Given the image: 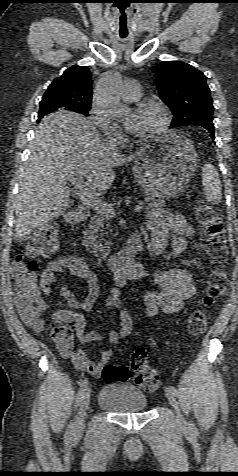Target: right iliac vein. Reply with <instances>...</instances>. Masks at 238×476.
<instances>
[{"label": "right iliac vein", "instance_id": "obj_1", "mask_svg": "<svg viewBox=\"0 0 238 476\" xmlns=\"http://www.w3.org/2000/svg\"><path fill=\"white\" fill-rule=\"evenodd\" d=\"M90 396H91V390L86 389V391L84 393V397H83L82 402H81L80 410L78 412V415L76 417V421H75V424H74V427H73V436L75 438L79 437L82 434L83 430H84L86 412H87V409H88V406H89Z\"/></svg>", "mask_w": 238, "mask_h": 476}]
</instances>
